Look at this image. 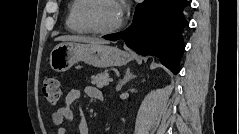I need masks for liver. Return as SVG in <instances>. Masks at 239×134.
<instances>
[{"instance_id": "obj_1", "label": "liver", "mask_w": 239, "mask_h": 134, "mask_svg": "<svg viewBox=\"0 0 239 134\" xmlns=\"http://www.w3.org/2000/svg\"><path fill=\"white\" fill-rule=\"evenodd\" d=\"M56 41H73V42H83V43H93V44H107L108 41L91 38L87 36H76V35H66L56 38Z\"/></svg>"}]
</instances>
